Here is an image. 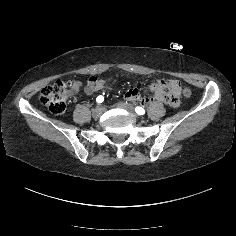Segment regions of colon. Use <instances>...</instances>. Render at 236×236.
<instances>
[{"label":"colon","instance_id":"colon-1","mask_svg":"<svg viewBox=\"0 0 236 236\" xmlns=\"http://www.w3.org/2000/svg\"><path fill=\"white\" fill-rule=\"evenodd\" d=\"M174 85L179 88L184 97H190L191 90L178 83ZM68 84L65 81L58 80L55 83L45 87L40 93V101L53 114L59 115L64 113L66 109V100L68 95Z\"/></svg>","mask_w":236,"mask_h":236}]
</instances>
